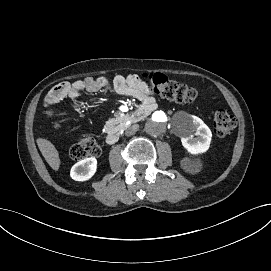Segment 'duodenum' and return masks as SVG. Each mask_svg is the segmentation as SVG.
<instances>
[{
	"label": "duodenum",
	"instance_id": "obj_1",
	"mask_svg": "<svg viewBox=\"0 0 271 271\" xmlns=\"http://www.w3.org/2000/svg\"><path fill=\"white\" fill-rule=\"evenodd\" d=\"M147 113V110L142 108L137 110L131 117V120L133 122H138L140 121ZM118 141V134L116 132H110L108 133L106 137V143L108 145H114Z\"/></svg>",
	"mask_w": 271,
	"mask_h": 271
}]
</instances>
